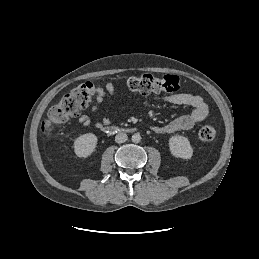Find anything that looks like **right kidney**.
Masks as SVG:
<instances>
[{
  "instance_id": "obj_1",
  "label": "right kidney",
  "mask_w": 259,
  "mask_h": 259,
  "mask_svg": "<svg viewBox=\"0 0 259 259\" xmlns=\"http://www.w3.org/2000/svg\"><path fill=\"white\" fill-rule=\"evenodd\" d=\"M97 137L93 133L80 135L74 141V152L78 157L87 158L96 148Z\"/></svg>"
}]
</instances>
